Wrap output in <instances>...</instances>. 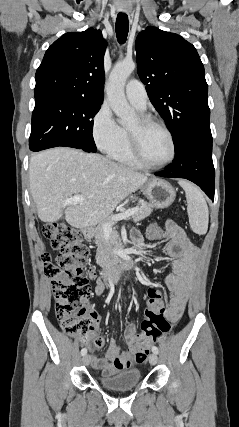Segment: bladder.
Here are the masks:
<instances>
[{"instance_id":"31cf9c89","label":"bladder","mask_w":239,"mask_h":427,"mask_svg":"<svg viewBox=\"0 0 239 427\" xmlns=\"http://www.w3.org/2000/svg\"><path fill=\"white\" fill-rule=\"evenodd\" d=\"M141 373L136 368L126 369L114 375L100 377L101 384L111 390H128L138 385Z\"/></svg>"}]
</instances>
